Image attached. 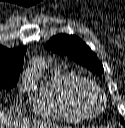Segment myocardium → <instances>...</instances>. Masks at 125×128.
<instances>
[{
  "mask_svg": "<svg viewBox=\"0 0 125 128\" xmlns=\"http://www.w3.org/2000/svg\"><path fill=\"white\" fill-rule=\"evenodd\" d=\"M80 104L90 116L101 114L106 105V97L103 90L92 80L82 78L77 89Z\"/></svg>",
  "mask_w": 125,
  "mask_h": 128,
  "instance_id": "myocardium-1",
  "label": "myocardium"
}]
</instances>
